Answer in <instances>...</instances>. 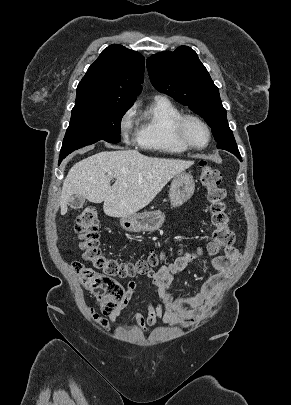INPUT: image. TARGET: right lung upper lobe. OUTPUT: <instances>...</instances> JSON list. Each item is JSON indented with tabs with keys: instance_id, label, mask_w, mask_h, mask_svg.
I'll use <instances>...</instances> for the list:
<instances>
[{
	"instance_id": "obj_1",
	"label": "right lung upper lobe",
	"mask_w": 291,
	"mask_h": 405,
	"mask_svg": "<svg viewBox=\"0 0 291 405\" xmlns=\"http://www.w3.org/2000/svg\"><path fill=\"white\" fill-rule=\"evenodd\" d=\"M144 57L113 44L102 51L77 87L75 106L112 103L132 106L142 90Z\"/></svg>"
}]
</instances>
